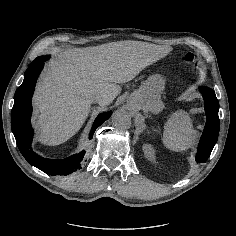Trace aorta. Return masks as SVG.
I'll list each match as a JSON object with an SVG mask.
<instances>
[{"mask_svg": "<svg viewBox=\"0 0 236 236\" xmlns=\"http://www.w3.org/2000/svg\"><path fill=\"white\" fill-rule=\"evenodd\" d=\"M112 123L118 129H128L132 124L131 116L125 110H116L112 115Z\"/></svg>", "mask_w": 236, "mask_h": 236, "instance_id": "762f6f07", "label": "aorta"}]
</instances>
